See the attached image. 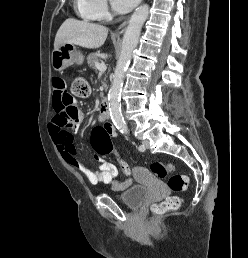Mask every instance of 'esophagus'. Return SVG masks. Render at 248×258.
Instances as JSON below:
<instances>
[{
	"mask_svg": "<svg viewBox=\"0 0 248 258\" xmlns=\"http://www.w3.org/2000/svg\"><path fill=\"white\" fill-rule=\"evenodd\" d=\"M141 1H143V0H141ZM128 21H129V17H128L123 23H121V24L117 27V29H116V33H117V34H122V33L125 31L126 26H127V24H128Z\"/></svg>",
	"mask_w": 248,
	"mask_h": 258,
	"instance_id": "obj_1",
	"label": "esophagus"
}]
</instances>
